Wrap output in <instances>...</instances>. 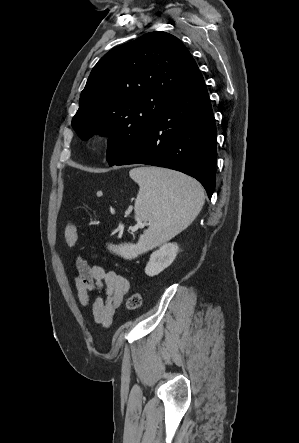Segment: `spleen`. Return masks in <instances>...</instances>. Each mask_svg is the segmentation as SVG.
Returning <instances> with one entry per match:
<instances>
[{"label":"spleen","mask_w":299,"mask_h":443,"mask_svg":"<svg viewBox=\"0 0 299 443\" xmlns=\"http://www.w3.org/2000/svg\"><path fill=\"white\" fill-rule=\"evenodd\" d=\"M130 177L138 183L135 214L149 222V228L134 245L109 244L110 251L125 259L137 257L187 228L204 204L202 186L184 174L156 167L134 168Z\"/></svg>","instance_id":"1"}]
</instances>
